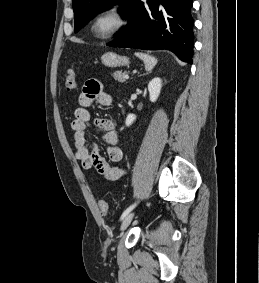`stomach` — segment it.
I'll use <instances>...</instances> for the list:
<instances>
[{
    "label": "stomach",
    "mask_w": 259,
    "mask_h": 283,
    "mask_svg": "<svg viewBox=\"0 0 259 283\" xmlns=\"http://www.w3.org/2000/svg\"><path fill=\"white\" fill-rule=\"evenodd\" d=\"M101 61L108 67L126 66L129 65V59L125 56H120L113 52H107L101 57Z\"/></svg>",
    "instance_id": "stomach-1"
}]
</instances>
